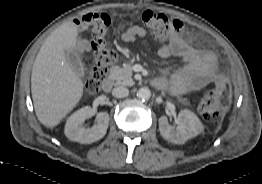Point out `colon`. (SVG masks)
<instances>
[{
    "instance_id": "5ec220e1",
    "label": "colon",
    "mask_w": 262,
    "mask_h": 184,
    "mask_svg": "<svg viewBox=\"0 0 262 184\" xmlns=\"http://www.w3.org/2000/svg\"><path fill=\"white\" fill-rule=\"evenodd\" d=\"M142 22L149 33L158 41L175 39L184 30V24L180 20L153 11H145L142 14ZM78 23L85 24L90 28L94 65L85 80L84 88L88 94L93 95L100 90L109 67L117 59L107 38L111 27V18L105 13H86ZM215 83V88L202 92L198 103V110L206 120L217 119L221 114L220 95L226 86V79L219 75L216 77Z\"/></svg>"
}]
</instances>
